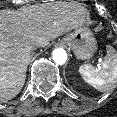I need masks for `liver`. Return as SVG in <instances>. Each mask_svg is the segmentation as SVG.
Returning <instances> with one entry per match:
<instances>
[{"label": "liver", "instance_id": "obj_1", "mask_svg": "<svg viewBox=\"0 0 117 117\" xmlns=\"http://www.w3.org/2000/svg\"><path fill=\"white\" fill-rule=\"evenodd\" d=\"M87 15L81 4L63 1L0 11V102L21 91L33 48L81 27Z\"/></svg>", "mask_w": 117, "mask_h": 117}]
</instances>
